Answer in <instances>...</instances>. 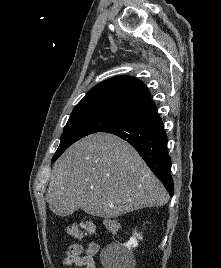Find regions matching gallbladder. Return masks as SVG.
Segmentation results:
<instances>
[{
	"label": "gallbladder",
	"instance_id": "1",
	"mask_svg": "<svg viewBox=\"0 0 221 268\" xmlns=\"http://www.w3.org/2000/svg\"><path fill=\"white\" fill-rule=\"evenodd\" d=\"M75 210H81L77 199H54L51 202V213H56L57 217H70Z\"/></svg>",
	"mask_w": 221,
	"mask_h": 268
}]
</instances>
